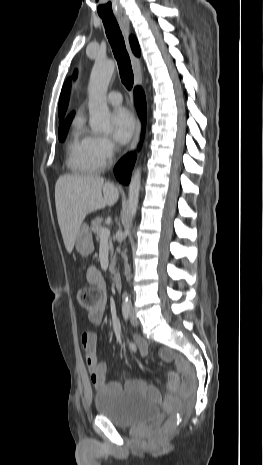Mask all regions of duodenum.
<instances>
[{"instance_id":"1","label":"duodenum","mask_w":263,"mask_h":465,"mask_svg":"<svg viewBox=\"0 0 263 465\" xmlns=\"http://www.w3.org/2000/svg\"><path fill=\"white\" fill-rule=\"evenodd\" d=\"M113 283L117 291L121 290L122 283H121V276L119 273L113 274Z\"/></svg>"}]
</instances>
